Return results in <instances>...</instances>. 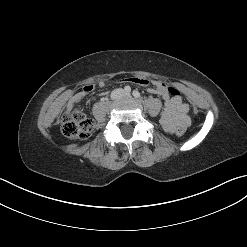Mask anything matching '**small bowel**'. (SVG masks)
Returning <instances> with one entry per match:
<instances>
[{"label": "small bowel", "instance_id": "obj_1", "mask_svg": "<svg viewBox=\"0 0 247 247\" xmlns=\"http://www.w3.org/2000/svg\"><path fill=\"white\" fill-rule=\"evenodd\" d=\"M130 82L141 86H148L150 93L159 95L164 100V109L160 116V122L164 130L168 133H174L178 126L188 127L190 125L189 106L184 103L180 97H172L168 93L167 86L159 81H149L145 78L133 77ZM97 86L104 87L105 82L100 81L98 85L88 84L82 90L72 95L67 102V111L70 112L73 106L82 101Z\"/></svg>", "mask_w": 247, "mask_h": 247}]
</instances>
